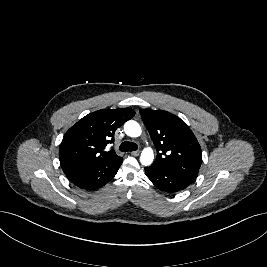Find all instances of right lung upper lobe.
Returning a JSON list of instances; mask_svg holds the SVG:
<instances>
[{"label": "right lung upper lobe", "instance_id": "1", "mask_svg": "<svg viewBox=\"0 0 267 267\" xmlns=\"http://www.w3.org/2000/svg\"><path fill=\"white\" fill-rule=\"evenodd\" d=\"M135 115L131 108L102 109L90 113L73 125L59 147V160L65 174L119 156L114 150L105 151L114 141L117 128Z\"/></svg>", "mask_w": 267, "mask_h": 267}]
</instances>
